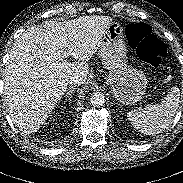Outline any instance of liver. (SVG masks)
<instances>
[{"mask_svg": "<svg viewBox=\"0 0 183 183\" xmlns=\"http://www.w3.org/2000/svg\"><path fill=\"white\" fill-rule=\"evenodd\" d=\"M113 22L110 16H82L64 22L32 26L13 44L5 67L4 96L11 117L26 133L44 124L67 90V78L87 79L86 63L96 53ZM75 58L68 62L63 54Z\"/></svg>", "mask_w": 183, "mask_h": 183, "instance_id": "liver-1", "label": "liver"}]
</instances>
